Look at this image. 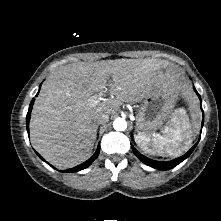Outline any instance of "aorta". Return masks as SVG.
<instances>
[{"label": "aorta", "mask_w": 221, "mask_h": 221, "mask_svg": "<svg viewBox=\"0 0 221 221\" xmlns=\"http://www.w3.org/2000/svg\"><path fill=\"white\" fill-rule=\"evenodd\" d=\"M113 127L116 131H124L127 128V122L123 118H117L113 122Z\"/></svg>", "instance_id": "1"}]
</instances>
